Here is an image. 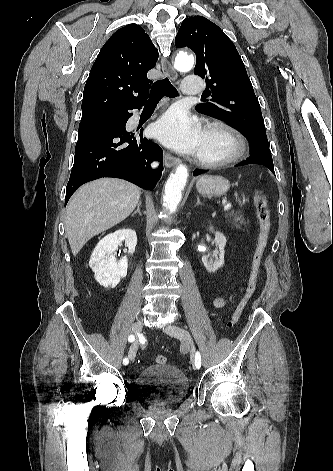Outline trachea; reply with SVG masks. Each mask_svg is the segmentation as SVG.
Instances as JSON below:
<instances>
[{"label":"trachea","mask_w":333,"mask_h":471,"mask_svg":"<svg viewBox=\"0 0 333 471\" xmlns=\"http://www.w3.org/2000/svg\"><path fill=\"white\" fill-rule=\"evenodd\" d=\"M178 95L176 88L171 84L168 78L156 81L150 92L149 103L158 102L163 96L174 98Z\"/></svg>","instance_id":"1"}]
</instances>
